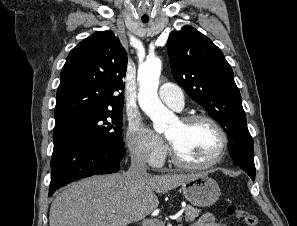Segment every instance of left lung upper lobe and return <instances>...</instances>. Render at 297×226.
<instances>
[{
  "label": "left lung upper lobe",
  "mask_w": 297,
  "mask_h": 226,
  "mask_svg": "<svg viewBox=\"0 0 297 226\" xmlns=\"http://www.w3.org/2000/svg\"><path fill=\"white\" fill-rule=\"evenodd\" d=\"M167 48L175 80L225 130L233 163L254 164L241 95L221 50L191 26L172 32Z\"/></svg>",
  "instance_id": "1"
}]
</instances>
